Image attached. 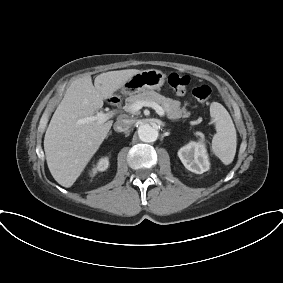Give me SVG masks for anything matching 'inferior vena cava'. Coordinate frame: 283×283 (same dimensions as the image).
Returning <instances> with one entry per match:
<instances>
[{
  "mask_svg": "<svg viewBox=\"0 0 283 283\" xmlns=\"http://www.w3.org/2000/svg\"><path fill=\"white\" fill-rule=\"evenodd\" d=\"M132 127V121L129 119L121 118L114 123V130L116 132H124Z\"/></svg>",
  "mask_w": 283,
  "mask_h": 283,
  "instance_id": "602c4592",
  "label": "inferior vena cava"
}]
</instances>
